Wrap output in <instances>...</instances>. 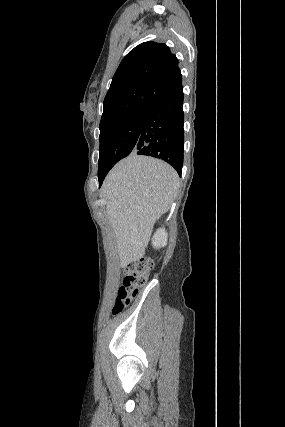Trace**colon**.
Wrapping results in <instances>:
<instances>
[{
	"label": "colon",
	"mask_w": 285,
	"mask_h": 427,
	"mask_svg": "<svg viewBox=\"0 0 285 427\" xmlns=\"http://www.w3.org/2000/svg\"><path fill=\"white\" fill-rule=\"evenodd\" d=\"M151 269L152 261L148 258L134 260L125 266L121 276L122 283L112 307L113 314H120L137 295L139 288L147 281Z\"/></svg>",
	"instance_id": "5ec220e1"
}]
</instances>
